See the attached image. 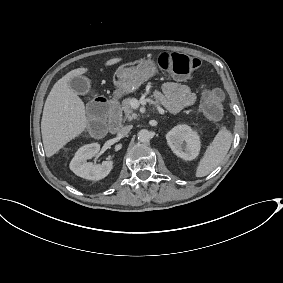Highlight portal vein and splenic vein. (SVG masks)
<instances>
[{
  "instance_id": "1",
  "label": "portal vein and splenic vein",
  "mask_w": 283,
  "mask_h": 283,
  "mask_svg": "<svg viewBox=\"0 0 283 283\" xmlns=\"http://www.w3.org/2000/svg\"><path fill=\"white\" fill-rule=\"evenodd\" d=\"M130 103H131L132 108H138L139 107V102L136 99L131 100Z\"/></svg>"
}]
</instances>
